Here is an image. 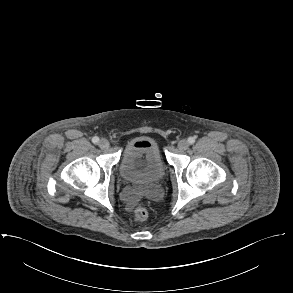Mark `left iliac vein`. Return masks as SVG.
Instances as JSON below:
<instances>
[{
  "label": "left iliac vein",
  "instance_id": "1",
  "mask_svg": "<svg viewBox=\"0 0 293 293\" xmlns=\"http://www.w3.org/2000/svg\"><path fill=\"white\" fill-rule=\"evenodd\" d=\"M189 146V143L187 140L182 139L178 142V149L181 151H185Z\"/></svg>",
  "mask_w": 293,
  "mask_h": 293
}]
</instances>
